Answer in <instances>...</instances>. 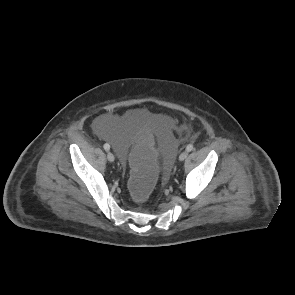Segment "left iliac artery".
Listing matches in <instances>:
<instances>
[{"label": "left iliac artery", "instance_id": "1", "mask_svg": "<svg viewBox=\"0 0 295 295\" xmlns=\"http://www.w3.org/2000/svg\"><path fill=\"white\" fill-rule=\"evenodd\" d=\"M193 148H194V147H193L192 144H188L187 147H186V151H187V152H190V151L193 150Z\"/></svg>", "mask_w": 295, "mask_h": 295}]
</instances>
